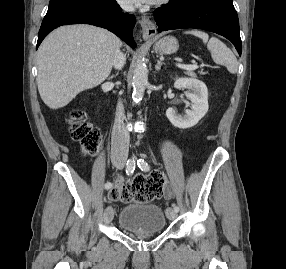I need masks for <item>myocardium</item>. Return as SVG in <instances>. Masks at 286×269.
Instances as JSON below:
<instances>
[{
	"label": "myocardium",
	"mask_w": 286,
	"mask_h": 269,
	"mask_svg": "<svg viewBox=\"0 0 286 269\" xmlns=\"http://www.w3.org/2000/svg\"><path fill=\"white\" fill-rule=\"evenodd\" d=\"M168 1H169V0H157V1H156V4L162 5V4L167 3Z\"/></svg>",
	"instance_id": "myocardium-1"
}]
</instances>
